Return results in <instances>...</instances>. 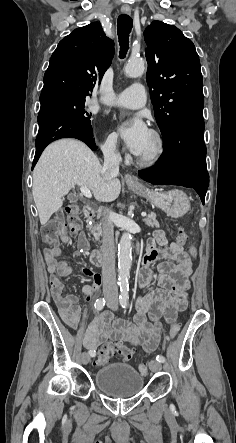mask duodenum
I'll return each mask as SVG.
<instances>
[{
	"label": "duodenum",
	"mask_w": 236,
	"mask_h": 443,
	"mask_svg": "<svg viewBox=\"0 0 236 443\" xmlns=\"http://www.w3.org/2000/svg\"><path fill=\"white\" fill-rule=\"evenodd\" d=\"M84 215L87 219H93L96 216V211L92 206H86L84 208ZM92 232V231H91ZM90 259L93 265L101 266L102 258L98 250H93L90 254Z\"/></svg>",
	"instance_id": "obj_1"
}]
</instances>
